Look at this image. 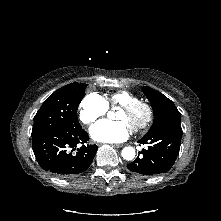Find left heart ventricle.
Returning a JSON list of instances; mask_svg holds the SVG:
<instances>
[{"label": "left heart ventricle", "instance_id": "b2bd125f", "mask_svg": "<svg viewBox=\"0 0 221 221\" xmlns=\"http://www.w3.org/2000/svg\"><path fill=\"white\" fill-rule=\"evenodd\" d=\"M145 116L144 110L139 109L135 113H127L123 111L122 109H119L118 112L115 115V118L117 120H123L125 121L129 126L139 123Z\"/></svg>", "mask_w": 221, "mask_h": 221}]
</instances>
